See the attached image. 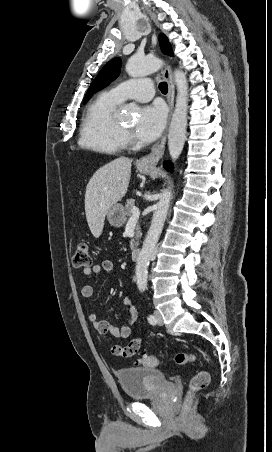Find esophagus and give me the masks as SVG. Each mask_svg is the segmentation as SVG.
<instances>
[{
  "instance_id": "obj_1",
  "label": "esophagus",
  "mask_w": 272,
  "mask_h": 452,
  "mask_svg": "<svg viewBox=\"0 0 272 452\" xmlns=\"http://www.w3.org/2000/svg\"><path fill=\"white\" fill-rule=\"evenodd\" d=\"M163 77L168 83V96L167 101L170 109V115L172 113L173 107H174V95H175V89H174V81H173V75L171 71V67L167 65L163 72ZM166 137H167V131L164 132L161 139L152 147L151 152L141 158L137 163L139 166L142 167H155L164 154L165 150V144H166Z\"/></svg>"
}]
</instances>
